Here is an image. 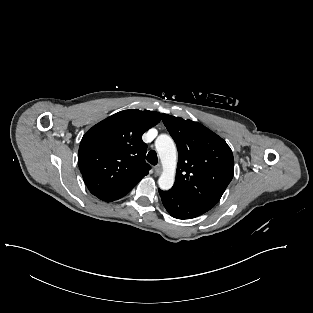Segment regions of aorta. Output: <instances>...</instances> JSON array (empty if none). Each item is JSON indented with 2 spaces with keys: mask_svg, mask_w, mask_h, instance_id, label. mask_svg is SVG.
I'll return each instance as SVG.
<instances>
[{
  "mask_svg": "<svg viewBox=\"0 0 313 313\" xmlns=\"http://www.w3.org/2000/svg\"><path fill=\"white\" fill-rule=\"evenodd\" d=\"M156 149L163 167V172L158 179V185L162 190H169L175 180L177 165L176 146L170 136L162 134L156 139Z\"/></svg>",
  "mask_w": 313,
  "mask_h": 313,
  "instance_id": "aorta-1",
  "label": "aorta"
}]
</instances>
